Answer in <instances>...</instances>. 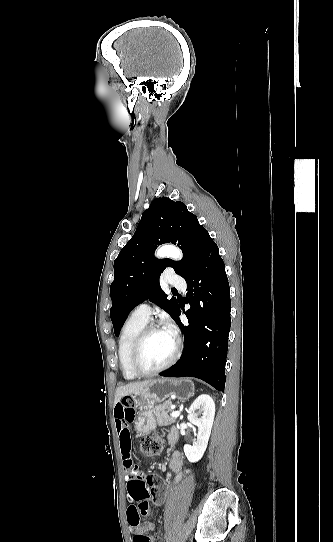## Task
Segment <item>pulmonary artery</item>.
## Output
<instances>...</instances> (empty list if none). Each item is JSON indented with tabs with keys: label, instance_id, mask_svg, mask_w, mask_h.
Returning <instances> with one entry per match:
<instances>
[{
	"label": "pulmonary artery",
	"instance_id": "pulmonary-artery-1",
	"mask_svg": "<svg viewBox=\"0 0 333 542\" xmlns=\"http://www.w3.org/2000/svg\"><path fill=\"white\" fill-rule=\"evenodd\" d=\"M166 274L168 275L167 276V281L172 282V286L174 288H177L179 290H184L185 289V284L182 283L183 277H182L181 274L176 273V274L172 275L173 274V269L172 268H167L166 269ZM151 313H152L151 305L149 303L145 302V303H141V304L137 305L132 310V312L130 314V317L133 318V319L148 322L149 319H150Z\"/></svg>",
	"mask_w": 333,
	"mask_h": 542
}]
</instances>
